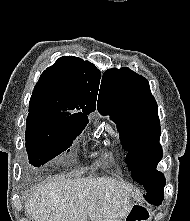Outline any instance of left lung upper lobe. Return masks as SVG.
I'll return each instance as SVG.
<instances>
[{
    "instance_id": "left-lung-upper-lobe-1",
    "label": "left lung upper lobe",
    "mask_w": 190,
    "mask_h": 221,
    "mask_svg": "<svg viewBox=\"0 0 190 221\" xmlns=\"http://www.w3.org/2000/svg\"><path fill=\"white\" fill-rule=\"evenodd\" d=\"M97 107L117 123L133 178L146 189L145 199H154L163 192L166 180L156 170L163 152L158 106L149 82L126 67L108 69L102 77Z\"/></svg>"
}]
</instances>
